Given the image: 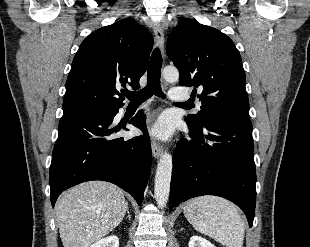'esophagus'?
Returning <instances> with one entry per match:
<instances>
[{
  "label": "esophagus",
  "mask_w": 310,
  "mask_h": 247,
  "mask_svg": "<svg viewBox=\"0 0 310 247\" xmlns=\"http://www.w3.org/2000/svg\"><path fill=\"white\" fill-rule=\"evenodd\" d=\"M153 30H154L157 45L159 46L160 50L163 51V47H164L163 28L161 27L160 24L155 23L153 26ZM151 149H152V154L154 158L158 159L160 155L162 154V146L155 139H152L151 141Z\"/></svg>",
  "instance_id": "34e87169"
}]
</instances>
